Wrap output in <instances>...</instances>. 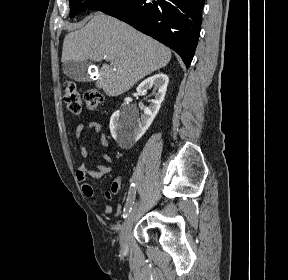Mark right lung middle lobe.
<instances>
[{
  "label": "right lung middle lobe",
  "mask_w": 288,
  "mask_h": 280,
  "mask_svg": "<svg viewBox=\"0 0 288 280\" xmlns=\"http://www.w3.org/2000/svg\"><path fill=\"white\" fill-rule=\"evenodd\" d=\"M70 1V17L85 11L87 9H98L106 7L119 0H69Z\"/></svg>",
  "instance_id": "dd1d6c3e"
}]
</instances>
